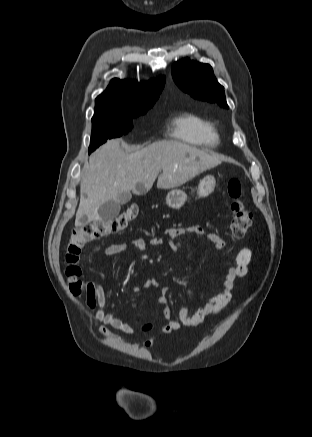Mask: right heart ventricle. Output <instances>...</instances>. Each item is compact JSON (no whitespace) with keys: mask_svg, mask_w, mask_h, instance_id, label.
I'll return each instance as SVG.
<instances>
[{"mask_svg":"<svg viewBox=\"0 0 312 437\" xmlns=\"http://www.w3.org/2000/svg\"><path fill=\"white\" fill-rule=\"evenodd\" d=\"M171 131L175 138L191 144L213 146L219 141L215 123L191 112L176 116Z\"/></svg>","mask_w":312,"mask_h":437,"instance_id":"obj_1","label":"right heart ventricle"}]
</instances>
